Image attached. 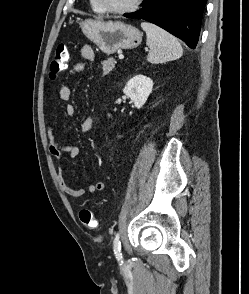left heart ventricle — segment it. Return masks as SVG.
<instances>
[{
  "label": "left heart ventricle",
  "instance_id": "obj_1",
  "mask_svg": "<svg viewBox=\"0 0 249 294\" xmlns=\"http://www.w3.org/2000/svg\"><path fill=\"white\" fill-rule=\"evenodd\" d=\"M132 0H101L104 6L111 8H122L127 6Z\"/></svg>",
  "mask_w": 249,
  "mask_h": 294
}]
</instances>
